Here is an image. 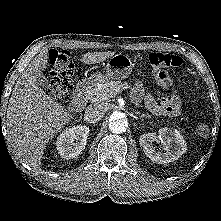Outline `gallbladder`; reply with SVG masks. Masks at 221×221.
<instances>
[{"instance_id": "gallbladder-1", "label": "gallbladder", "mask_w": 221, "mask_h": 221, "mask_svg": "<svg viewBox=\"0 0 221 221\" xmlns=\"http://www.w3.org/2000/svg\"><path fill=\"white\" fill-rule=\"evenodd\" d=\"M36 82L39 86L43 87L44 89H49L50 88V84L47 80V78L45 77V75L41 72H39L36 75Z\"/></svg>"}]
</instances>
